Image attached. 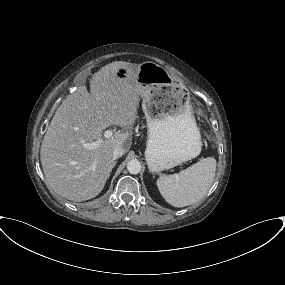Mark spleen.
<instances>
[{
    "mask_svg": "<svg viewBox=\"0 0 285 285\" xmlns=\"http://www.w3.org/2000/svg\"><path fill=\"white\" fill-rule=\"evenodd\" d=\"M215 172L216 160L207 157L177 174L160 176L156 183L166 202L174 207H185L207 194Z\"/></svg>",
    "mask_w": 285,
    "mask_h": 285,
    "instance_id": "3e777b00",
    "label": "spleen"
}]
</instances>
